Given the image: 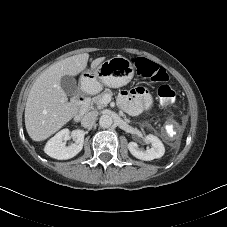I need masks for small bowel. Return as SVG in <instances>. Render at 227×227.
I'll list each match as a JSON object with an SVG mask.
<instances>
[{"label":"small bowel","instance_id":"1","mask_svg":"<svg viewBox=\"0 0 227 227\" xmlns=\"http://www.w3.org/2000/svg\"><path fill=\"white\" fill-rule=\"evenodd\" d=\"M119 105L130 115L136 116L143 110H149L152 101L149 93L144 88H136L132 91H122L118 97Z\"/></svg>","mask_w":227,"mask_h":227}]
</instances>
